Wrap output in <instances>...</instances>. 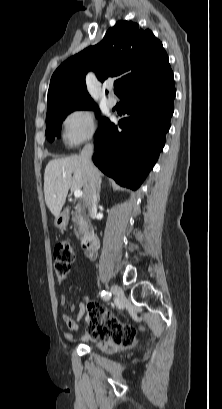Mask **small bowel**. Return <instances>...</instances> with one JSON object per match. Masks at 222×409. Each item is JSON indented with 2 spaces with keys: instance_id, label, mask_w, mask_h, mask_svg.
Returning <instances> with one entry per match:
<instances>
[{
  "instance_id": "c3829d8e",
  "label": "small bowel",
  "mask_w": 222,
  "mask_h": 409,
  "mask_svg": "<svg viewBox=\"0 0 222 409\" xmlns=\"http://www.w3.org/2000/svg\"><path fill=\"white\" fill-rule=\"evenodd\" d=\"M87 258H89L90 260L94 261L96 259V254H84ZM79 268V262H77L73 268L71 269L70 273L75 272L76 270H78ZM60 303L61 305L65 306L68 303V298L66 295H62L60 297ZM87 308L84 304H79L78 305V313L75 317H72L69 313H64L62 316L64 325H65V329H63V333H64V337L66 340L68 341H73L74 336L73 333L74 331L78 330L79 328V321L80 319L84 316L85 312H86ZM111 318H115L113 316H111ZM116 319V318H115ZM90 337L88 335L84 336V340L89 339ZM133 344V341L129 342L128 344L122 345V344H118L115 341L111 340V339H105V340H100L98 343V346L100 347V349L105 352V353H113V352H117L119 350L124 349L125 347H129Z\"/></svg>"
}]
</instances>
